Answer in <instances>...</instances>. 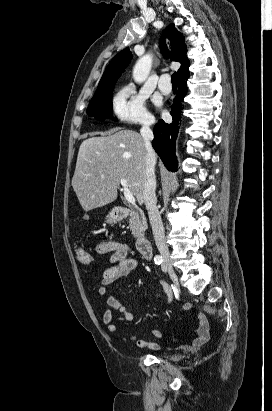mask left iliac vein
<instances>
[{
  "label": "left iliac vein",
  "instance_id": "4c4485c4",
  "mask_svg": "<svg viewBox=\"0 0 272 411\" xmlns=\"http://www.w3.org/2000/svg\"><path fill=\"white\" fill-rule=\"evenodd\" d=\"M162 270H163V272H167L166 267H165V263H163V265H162Z\"/></svg>",
  "mask_w": 272,
  "mask_h": 411
}]
</instances>
